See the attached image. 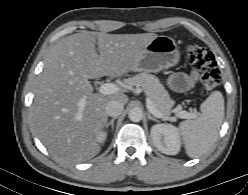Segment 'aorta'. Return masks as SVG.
I'll use <instances>...</instances> for the list:
<instances>
[{
	"instance_id": "obj_1",
	"label": "aorta",
	"mask_w": 248,
	"mask_h": 195,
	"mask_svg": "<svg viewBox=\"0 0 248 195\" xmlns=\"http://www.w3.org/2000/svg\"><path fill=\"white\" fill-rule=\"evenodd\" d=\"M128 117L132 122H139L142 120V117H143L142 110L137 107L132 108L128 113Z\"/></svg>"
}]
</instances>
